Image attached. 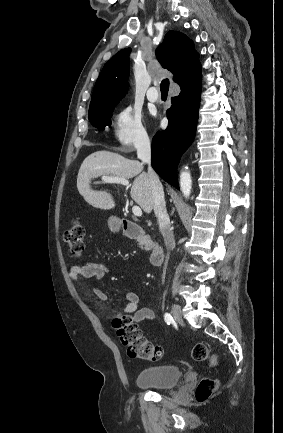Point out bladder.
Instances as JSON below:
<instances>
[{"label": "bladder", "instance_id": "31cf9c89", "mask_svg": "<svg viewBox=\"0 0 283 433\" xmlns=\"http://www.w3.org/2000/svg\"><path fill=\"white\" fill-rule=\"evenodd\" d=\"M181 378V370L177 365L146 367L139 372L136 385L166 389L174 386Z\"/></svg>", "mask_w": 283, "mask_h": 433}]
</instances>
